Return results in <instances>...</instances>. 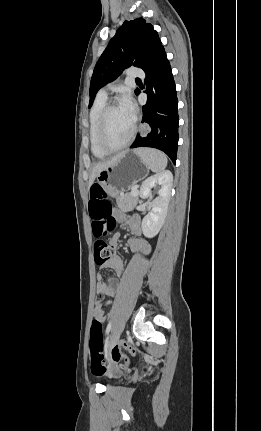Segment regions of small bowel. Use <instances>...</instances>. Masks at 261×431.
<instances>
[{
  "instance_id": "1",
  "label": "small bowel",
  "mask_w": 261,
  "mask_h": 431,
  "mask_svg": "<svg viewBox=\"0 0 261 431\" xmlns=\"http://www.w3.org/2000/svg\"><path fill=\"white\" fill-rule=\"evenodd\" d=\"M118 219L120 221H126L129 226L130 232L133 234V237L129 238L128 245L133 252L139 254H147L150 251L149 244L143 239L139 238L141 234V220L139 216H131L129 218H125L122 215H118ZM110 245L113 249H116L119 246V236L117 234L113 235L110 238ZM101 268H111L117 274H121L123 271V263L118 253H114V255L104 262L103 264H99ZM116 280L114 278H109L108 280H104L102 275L99 273L97 275V284L96 289L98 294L106 295L112 297L116 293ZM110 301L106 303L96 302L94 307V319L104 322L107 317V311L105 306L109 305Z\"/></svg>"
}]
</instances>
